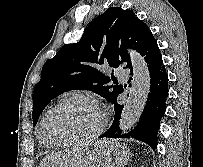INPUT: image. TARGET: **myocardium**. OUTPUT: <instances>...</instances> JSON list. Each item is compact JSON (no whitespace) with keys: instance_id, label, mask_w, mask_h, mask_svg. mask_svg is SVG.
Returning <instances> with one entry per match:
<instances>
[{"instance_id":"obj_1","label":"myocardium","mask_w":203,"mask_h":167,"mask_svg":"<svg viewBox=\"0 0 203 167\" xmlns=\"http://www.w3.org/2000/svg\"><path fill=\"white\" fill-rule=\"evenodd\" d=\"M73 102H84V103L90 105L91 107H93L99 113L100 118H101L99 127L91 134H89L85 137H82V138H76V139H70V140H55V139L50 138L47 135L46 130H45V124H46L47 119L49 118V116L52 113H54L61 107L65 106L67 104L73 103ZM106 123H107V119H106L105 114L100 110V108L97 106V104L90 97H88L84 94H75L73 96L62 99L61 101H59L57 104H55L53 107H51L44 114V116L42 117V119L40 121L39 131H40L41 137L43 138V140L45 142H48V143L56 145V146H66V145L82 144V143H86V142L95 140L104 131V129L106 127Z\"/></svg>"}]
</instances>
